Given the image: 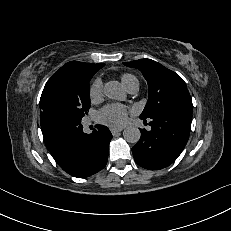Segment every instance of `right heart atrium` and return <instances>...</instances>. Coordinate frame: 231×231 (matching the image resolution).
Returning a JSON list of instances; mask_svg holds the SVG:
<instances>
[{"label":"right heart atrium","instance_id":"right-heart-atrium-1","mask_svg":"<svg viewBox=\"0 0 231 231\" xmlns=\"http://www.w3.org/2000/svg\"><path fill=\"white\" fill-rule=\"evenodd\" d=\"M89 95L92 100H97L102 96V80L96 78L90 85Z\"/></svg>","mask_w":231,"mask_h":231}]
</instances>
